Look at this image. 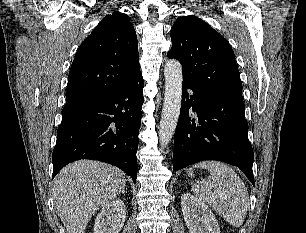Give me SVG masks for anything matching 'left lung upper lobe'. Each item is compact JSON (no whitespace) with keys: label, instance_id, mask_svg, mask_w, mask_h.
Listing matches in <instances>:
<instances>
[{"label":"left lung upper lobe","instance_id":"1","mask_svg":"<svg viewBox=\"0 0 306 233\" xmlns=\"http://www.w3.org/2000/svg\"><path fill=\"white\" fill-rule=\"evenodd\" d=\"M169 58L182 64L183 78L242 93L234 52L226 39L200 18L179 17L171 28Z\"/></svg>","mask_w":306,"mask_h":233}]
</instances>
